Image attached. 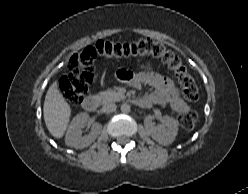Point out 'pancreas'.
Here are the masks:
<instances>
[{
    "label": "pancreas",
    "instance_id": "cf45deb5",
    "mask_svg": "<svg viewBox=\"0 0 248 194\" xmlns=\"http://www.w3.org/2000/svg\"><path fill=\"white\" fill-rule=\"evenodd\" d=\"M98 97L101 99L102 103L105 104L108 102L119 101L124 98V95L115 90H108L100 92Z\"/></svg>",
    "mask_w": 248,
    "mask_h": 194
}]
</instances>
